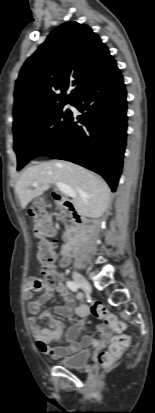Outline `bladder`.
Listing matches in <instances>:
<instances>
[{
  "mask_svg": "<svg viewBox=\"0 0 155 413\" xmlns=\"http://www.w3.org/2000/svg\"><path fill=\"white\" fill-rule=\"evenodd\" d=\"M89 357L90 352L88 350H82L72 356L62 358L59 364L70 369H80L87 365Z\"/></svg>",
  "mask_w": 155,
  "mask_h": 413,
  "instance_id": "1",
  "label": "bladder"
}]
</instances>
